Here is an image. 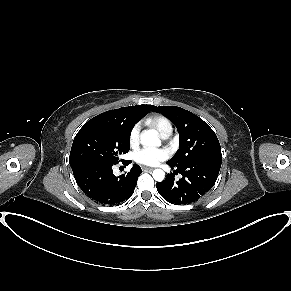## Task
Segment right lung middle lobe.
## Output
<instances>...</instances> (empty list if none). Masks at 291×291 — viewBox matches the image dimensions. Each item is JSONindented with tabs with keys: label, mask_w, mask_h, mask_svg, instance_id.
I'll list each match as a JSON object with an SVG mask.
<instances>
[{
	"label": "right lung middle lobe",
	"mask_w": 291,
	"mask_h": 291,
	"mask_svg": "<svg viewBox=\"0 0 291 291\" xmlns=\"http://www.w3.org/2000/svg\"><path fill=\"white\" fill-rule=\"evenodd\" d=\"M133 124L124 119L94 117L74 138L69 163L73 169L89 164H116L130 149Z\"/></svg>",
	"instance_id": "obj_1"
}]
</instances>
